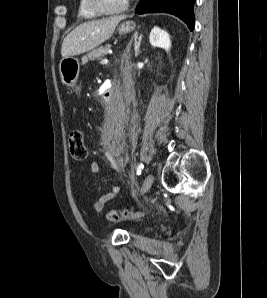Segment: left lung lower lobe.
<instances>
[{"label": "left lung lower lobe", "mask_w": 267, "mask_h": 298, "mask_svg": "<svg viewBox=\"0 0 267 298\" xmlns=\"http://www.w3.org/2000/svg\"><path fill=\"white\" fill-rule=\"evenodd\" d=\"M195 0H140L135 13L166 12L182 19L193 30Z\"/></svg>", "instance_id": "left-lung-lower-lobe-1"}]
</instances>
